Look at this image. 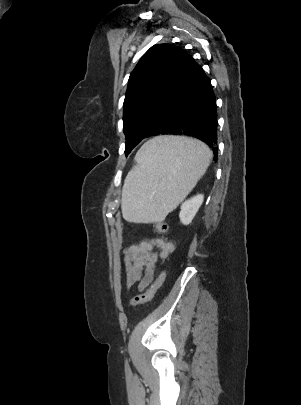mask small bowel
<instances>
[{
	"label": "small bowel",
	"instance_id": "obj_1",
	"mask_svg": "<svg viewBox=\"0 0 301 405\" xmlns=\"http://www.w3.org/2000/svg\"><path fill=\"white\" fill-rule=\"evenodd\" d=\"M174 251V244L164 238L144 239L124 250L128 276L126 288L137 286L145 289L154 278L158 259L167 258Z\"/></svg>",
	"mask_w": 301,
	"mask_h": 405
}]
</instances>
